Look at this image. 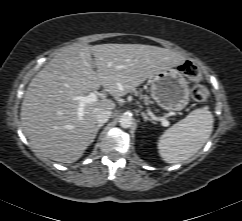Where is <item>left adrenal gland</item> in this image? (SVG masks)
<instances>
[{
    "mask_svg": "<svg viewBox=\"0 0 242 221\" xmlns=\"http://www.w3.org/2000/svg\"><path fill=\"white\" fill-rule=\"evenodd\" d=\"M141 115H142V117L144 118V121H145V122H146V121H150V122H152L153 124H156V122H155L153 119L149 118L148 115H147L145 112H142Z\"/></svg>",
    "mask_w": 242,
    "mask_h": 221,
    "instance_id": "1",
    "label": "left adrenal gland"
}]
</instances>
